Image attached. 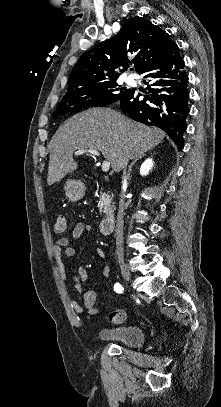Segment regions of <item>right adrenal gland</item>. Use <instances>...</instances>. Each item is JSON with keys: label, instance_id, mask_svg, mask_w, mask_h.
I'll list each match as a JSON object with an SVG mask.
<instances>
[{"label": "right adrenal gland", "instance_id": "obj_1", "mask_svg": "<svg viewBox=\"0 0 221 407\" xmlns=\"http://www.w3.org/2000/svg\"><path fill=\"white\" fill-rule=\"evenodd\" d=\"M144 156H146V154L140 155L139 157H137V158L130 164V166H129V168H128L127 176H126V179H127V180H130V174H131L133 165H134L139 159H141V158L144 157Z\"/></svg>", "mask_w": 221, "mask_h": 407}]
</instances>
